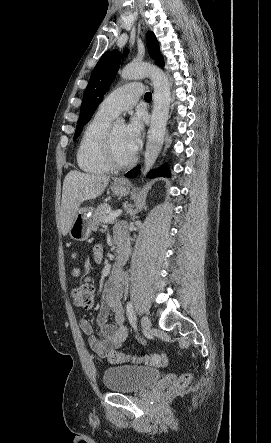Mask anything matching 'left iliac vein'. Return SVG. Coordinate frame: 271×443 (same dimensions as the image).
<instances>
[{
	"mask_svg": "<svg viewBox=\"0 0 271 443\" xmlns=\"http://www.w3.org/2000/svg\"><path fill=\"white\" fill-rule=\"evenodd\" d=\"M141 326L145 332H149L151 329V320L148 316H143L141 319Z\"/></svg>",
	"mask_w": 271,
	"mask_h": 443,
	"instance_id": "1",
	"label": "left iliac vein"
}]
</instances>
